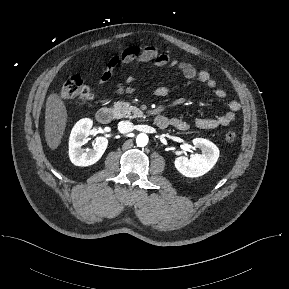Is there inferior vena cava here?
Returning a JSON list of instances; mask_svg holds the SVG:
<instances>
[{
    "instance_id": "obj_1",
    "label": "inferior vena cava",
    "mask_w": 289,
    "mask_h": 289,
    "mask_svg": "<svg viewBox=\"0 0 289 289\" xmlns=\"http://www.w3.org/2000/svg\"><path fill=\"white\" fill-rule=\"evenodd\" d=\"M134 125L130 121H120L118 123V131L122 134L133 131Z\"/></svg>"
}]
</instances>
